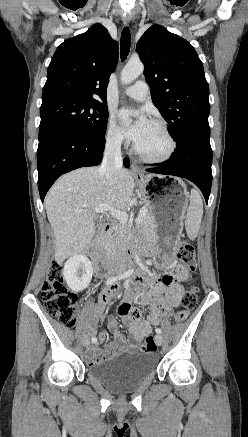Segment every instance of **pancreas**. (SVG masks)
Listing matches in <instances>:
<instances>
[{"instance_id": "pancreas-1", "label": "pancreas", "mask_w": 248, "mask_h": 437, "mask_svg": "<svg viewBox=\"0 0 248 437\" xmlns=\"http://www.w3.org/2000/svg\"><path fill=\"white\" fill-rule=\"evenodd\" d=\"M153 217L150 212L143 216L141 221V228L143 232L153 237ZM128 226L125 224H119L116 226L115 231L105 240L104 248L109 255H114L119 247L127 241Z\"/></svg>"}]
</instances>
